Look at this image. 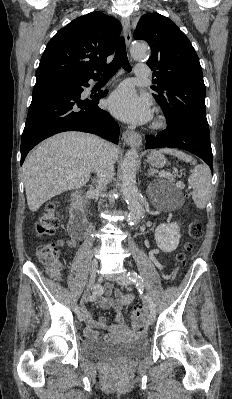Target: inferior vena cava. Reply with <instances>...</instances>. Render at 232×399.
Returning a JSON list of instances; mask_svg holds the SVG:
<instances>
[{"label": "inferior vena cava", "instance_id": "inferior-vena-cava-1", "mask_svg": "<svg viewBox=\"0 0 232 399\" xmlns=\"http://www.w3.org/2000/svg\"><path fill=\"white\" fill-rule=\"evenodd\" d=\"M108 146L109 144L102 140V150H99L98 160L94 166V170L98 176L97 192L99 194L107 188V184L111 182L114 176V158Z\"/></svg>", "mask_w": 232, "mask_h": 399}]
</instances>
